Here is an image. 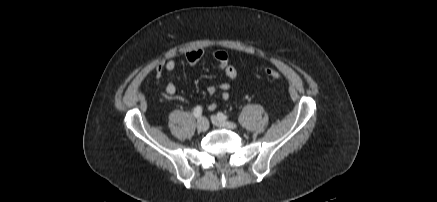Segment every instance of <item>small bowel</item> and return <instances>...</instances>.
Segmentation results:
<instances>
[{"mask_svg":"<svg viewBox=\"0 0 437 202\" xmlns=\"http://www.w3.org/2000/svg\"><path fill=\"white\" fill-rule=\"evenodd\" d=\"M204 55V51L202 49H192L189 50L185 54V60L189 65H195L198 63L201 58ZM213 57L218 65L219 68L224 70L225 74L230 80H234L237 77V71L235 67L231 64L230 57L228 53L222 50L215 51L213 54ZM176 68V61L174 59H169L165 62H161L156 66V79L157 81L160 80L161 74L164 70L166 71H173ZM230 83L228 82H222L217 85H211L207 88L208 95L212 96L214 95L218 90L221 91L220 98L222 101H227L229 99V90H230ZM176 86L174 83L169 82L167 83L165 87V92L167 96L173 97L176 93ZM217 107L216 102H212L209 105L210 110H214Z\"/></svg>","mask_w":437,"mask_h":202,"instance_id":"c3829d8e","label":"small bowel"}]
</instances>
